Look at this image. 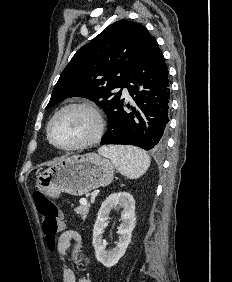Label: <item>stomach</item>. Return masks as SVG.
<instances>
[{
	"label": "stomach",
	"mask_w": 232,
	"mask_h": 282,
	"mask_svg": "<svg viewBox=\"0 0 232 282\" xmlns=\"http://www.w3.org/2000/svg\"><path fill=\"white\" fill-rule=\"evenodd\" d=\"M114 176V166L96 154L73 155L53 164L36 177V187L44 195L57 198L63 192L82 196L107 186Z\"/></svg>",
	"instance_id": "0dacf381"
}]
</instances>
